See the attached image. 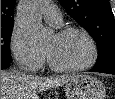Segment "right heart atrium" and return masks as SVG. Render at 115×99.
<instances>
[{"mask_svg":"<svg viewBox=\"0 0 115 99\" xmlns=\"http://www.w3.org/2000/svg\"><path fill=\"white\" fill-rule=\"evenodd\" d=\"M10 51L17 64L29 70L39 69L45 59L42 53L30 47L26 37L17 28L10 37Z\"/></svg>","mask_w":115,"mask_h":99,"instance_id":"obj_1","label":"right heart atrium"}]
</instances>
